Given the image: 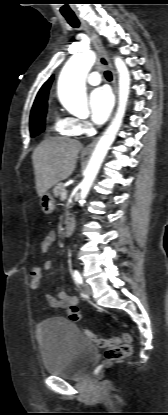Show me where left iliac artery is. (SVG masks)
<instances>
[{"instance_id":"left-iliac-artery-1","label":"left iliac artery","mask_w":168,"mask_h":415,"mask_svg":"<svg viewBox=\"0 0 168 415\" xmlns=\"http://www.w3.org/2000/svg\"><path fill=\"white\" fill-rule=\"evenodd\" d=\"M74 278H75V280L78 284L83 283V279H82L80 273L77 270L74 271Z\"/></svg>"}]
</instances>
